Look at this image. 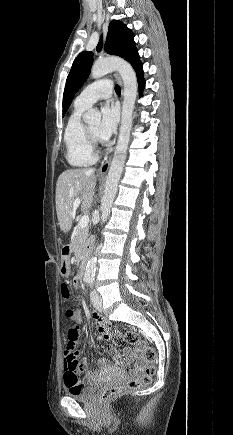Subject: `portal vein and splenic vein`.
I'll return each mask as SVG.
<instances>
[{"label": "portal vein and splenic vein", "mask_w": 233, "mask_h": 435, "mask_svg": "<svg viewBox=\"0 0 233 435\" xmlns=\"http://www.w3.org/2000/svg\"><path fill=\"white\" fill-rule=\"evenodd\" d=\"M80 204V199L76 198L74 201V206L78 207ZM89 223V216L88 215H83L78 223V226L80 228H86L88 226Z\"/></svg>", "instance_id": "1"}]
</instances>
